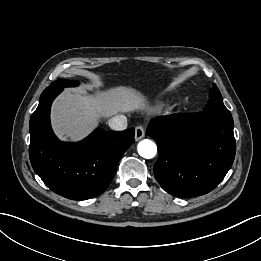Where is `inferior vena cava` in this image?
Masks as SVG:
<instances>
[{
	"label": "inferior vena cava",
	"mask_w": 261,
	"mask_h": 261,
	"mask_svg": "<svg viewBox=\"0 0 261 261\" xmlns=\"http://www.w3.org/2000/svg\"><path fill=\"white\" fill-rule=\"evenodd\" d=\"M108 125L115 131H122L127 128V118L124 115H116L108 120Z\"/></svg>",
	"instance_id": "inferior-vena-cava-1"
}]
</instances>
